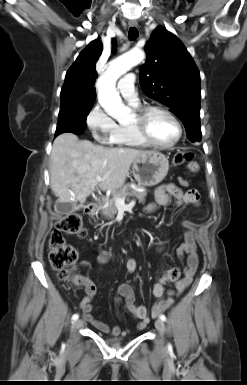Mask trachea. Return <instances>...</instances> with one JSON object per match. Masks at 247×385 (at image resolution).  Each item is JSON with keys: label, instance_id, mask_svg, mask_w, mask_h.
<instances>
[{"label": "trachea", "instance_id": "trachea-1", "mask_svg": "<svg viewBox=\"0 0 247 385\" xmlns=\"http://www.w3.org/2000/svg\"><path fill=\"white\" fill-rule=\"evenodd\" d=\"M139 36V32L135 27L129 29V39L135 40Z\"/></svg>", "mask_w": 247, "mask_h": 385}]
</instances>
